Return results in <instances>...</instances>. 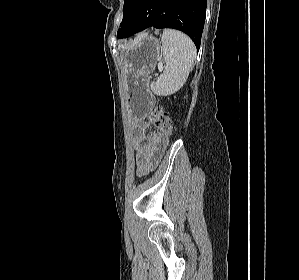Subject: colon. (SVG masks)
I'll list each match as a JSON object with an SVG mask.
<instances>
[{"label": "colon", "mask_w": 299, "mask_h": 280, "mask_svg": "<svg viewBox=\"0 0 299 280\" xmlns=\"http://www.w3.org/2000/svg\"><path fill=\"white\" fill-rule=\"evenodd\" d=\"M150 121L168 137L172 135V123L169 114L162 107H156L149 115Z\"/></svg>", "instance_id": "colon-1"}]
</instances>
